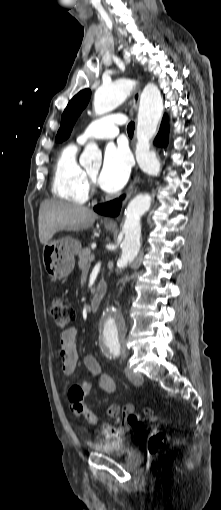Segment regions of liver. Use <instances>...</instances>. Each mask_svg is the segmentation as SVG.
<instances>
[{"instance_id":"liver-1","label":"liver","mask_w":221,"mask_h":510,"mask_svg":"<svg viewBox=\"0 0 221 510\" xmlns=\"http://www.w3.org/2000/svg\"><path fill=\"white\" fill-rule=\"evenodd\" d=\"M97 217L94 211L84 206L55 199L45 200L39 209V240L45 245L59 231L87 229Z\"/></svg>"}]
</instances>
